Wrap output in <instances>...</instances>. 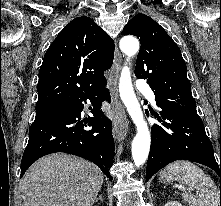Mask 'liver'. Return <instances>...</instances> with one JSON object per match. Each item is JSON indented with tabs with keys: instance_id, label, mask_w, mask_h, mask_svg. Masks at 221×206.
Instances as JSON below:
<instances>
[{
	"instance_id": "1",
	"label": "liver",
	"mask_w": 221,
	"mask_h": 206,
	"mask_svg": "<svg viewBox=\"0 0 221 206\" xmlns=\"http://www.w3.org/2000/svg\"><path fill=\"white\" fill-rule=\"evenodd\" d=\"M93 163L55 153L36 161L23 176V206H92L103 184Z\"/></svg>"
}]
</instances>
